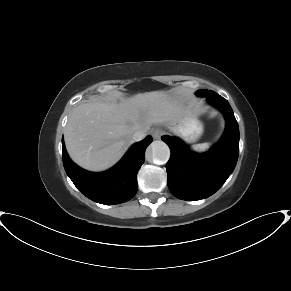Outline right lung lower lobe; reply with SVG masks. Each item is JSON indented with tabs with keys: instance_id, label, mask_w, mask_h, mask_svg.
Returning <instances> with one entry per match:
<instances>
[{
	"instance_id": "obj_1",
	"label": "right lung lower lobe",
	"mask_w": 291,
	"mask_h": 291,
	"mask_svg": "<svg viewBox=\"0 0 291 291\" xmlns=\"http://www.w3.org/2000/svg\"><path fill=\"white\" fill-rule=\"evenodd\" d=\"M152 140L151 136H147L135 143L114 167L105 172L92 173L71 161L62 139L63 165L74 185L87 198L106 205L123 203L132 199L137 192V173Z\"/></svg>"
}]
</instances>
